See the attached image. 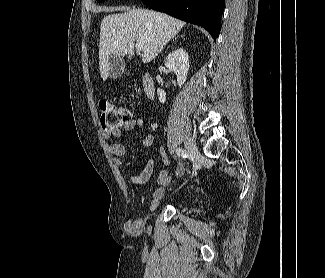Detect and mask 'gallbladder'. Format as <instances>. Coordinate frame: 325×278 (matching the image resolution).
<instances>
[{"label": "gallbladder", "mask_w": 325, "mask_h": 278, "mask_svg": "<svg viewBox=\"0 0 325 278\" xmlns=\"http://www.w3.org/2000/svg\"><path fill=\"white\" fill-rule=\"evenodd\" d=\"M109 65V76L113 79L119 77L125 68L122 58L117 55H110Z\"/></svg>", "instance_id": "bac80fb5"}]
</instances>
